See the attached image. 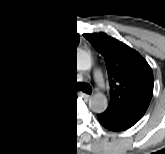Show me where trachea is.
Returning a JSON list of instances; mask_svg holds the SVG:
<instances>
[{
    "label": "trachea",
    "instance_id": "1",
    "mask_svg": "<svg viewBox=\"0 0 165 154\" xmlns=\"http://www.w3.org/2000/svg\"><path fill=\"white\" fill-rule=\"evenodd\" d=\"M68 89L76 92L77 91H83L85 93L91 92L89 85L77 81H74L73 83H69Z\"/></svg>",
    "mask_w": 165,
    "mask_h": 154
}]
</instances>
